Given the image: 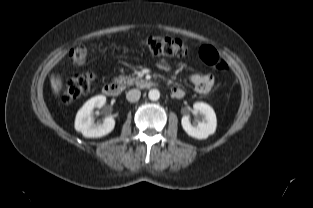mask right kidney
I'll use <instances>...</instances> for the list:
<instances>
[{"instance_id": "obj_1", "label": "right kidney", "mask_w": 313, "mask_h": 208, "mask_svg": "<svg viewBox=\"0 0 313 208\" xmlns=\"http://www.w3.org/2000/svg\"><path fill=\"white\" fill-rule=\"evenodd\" d=\"M106 103V97L98 95L88 100L78 111L75 119V129L84 137L98 138L109 134L115 126L112 116H107L102 124H95L92 118L94 108H101Z\"/></svg>"}]
</instances>
